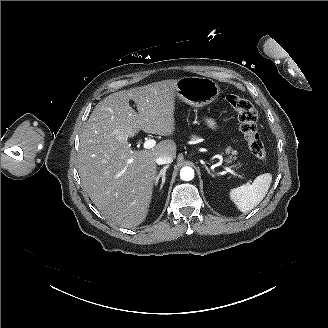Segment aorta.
Returning <instances> with one entry per match:
<instances>
[{
    "instance_id": "1",
    "label": "aorta",
    "mask_w": 328,
    "mask_h": 328,
    "mask_svg": "<svg viewBox=\"0 0 328 328\" xmlns=\"http://www.w3.org/2000/svg\"><path fill=\"white\" fill-rule=\"evenodd\" d=\"M180 177L184 181H190L194 178V170L191 167H183L180 170Z\"/></svg>"
}]
</instances>
